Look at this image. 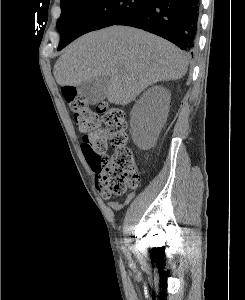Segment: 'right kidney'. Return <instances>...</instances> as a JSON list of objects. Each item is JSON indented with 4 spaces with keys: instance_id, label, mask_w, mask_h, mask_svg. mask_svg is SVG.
<instances>
[{
    "instance_id": "obj_1",
    "label": "right kidney",
    "mask_w": 245,
    "mask_h": 300,
    "mask_svg": "<svg viewBox=\"0 0 245 300\" xmlns=\"http://www.w3.org/2000/svg\"><path fill=\"white\" fill-rule=\"evenodd\" d=\"M170 97L167 89L154 86L136 101L131 110L130 133L139 148L154 146L168 116Z\"/></svg>"
}]
</instances>
